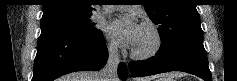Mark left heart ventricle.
I'll list each match as a JSON object with an SVG mask.
<instances>
[{
    "label": "left heart ventricle",
    "instance_id": "left-heart-ventricle-1",
    "mask_svg": "<svg viewBox=\"0 0 237 81\" xmlns=\"http://www.w3.org/2000/svg\"><path fill=\"white\" fill-rule=\"evenodd\" d=\"M152 43L153 37L151 32L148 29L141 27L138 40L133 49L136 52H145L151 47Z\"/></svg>",
    "mask_w": 237,
    "mask_h": 81
}]
</instances>
